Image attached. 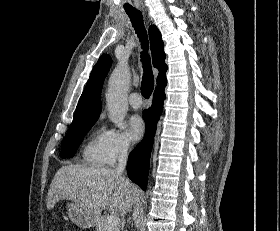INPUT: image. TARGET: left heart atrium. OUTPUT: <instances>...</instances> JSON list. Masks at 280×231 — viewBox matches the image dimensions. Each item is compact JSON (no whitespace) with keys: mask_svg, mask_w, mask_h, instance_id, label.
Instances as JSON below:
<instances>
[{"mask_svg":"<svg viewBox=\"0 0 280 231\" xmlns=\"http://www.w3.org/2000/svg\"><path fill=\"white\" fill-rule=\"evenodd\" d=\"M128 133L132 141H139L145 132V124L139 115H132L128 119Z\"/></svg>","mask_w":280,"mask_h":231,"instance_id":"obj_1","label":"left heart atrium"}]
</instances>
